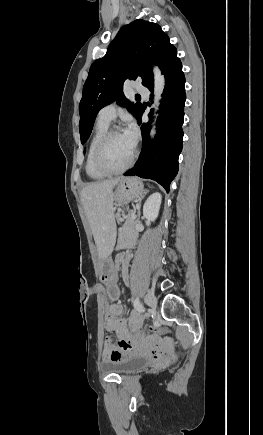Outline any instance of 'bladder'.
I'll list each match as a JSON object with an SVG mask.
<instances>
[{
    "label": "bladder",
    "mask_w": 263,
    "mask_h": 435,
    "mask_svg": "<svg viewBox=\"0 0 263 435\" xmlns=\"http://www.w3.org/2000/svg\"><path fill=\"white\" fill-rule=\"evenodd\" d=\"M147 363V358L130 354L121 360L103 364L102 370L106 373L124 376L139 371L144 368Z\"/></svg>",
    "instance_id": "31cf9c89"
}]
</instances>
